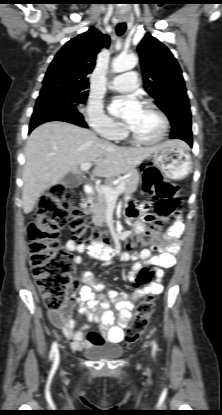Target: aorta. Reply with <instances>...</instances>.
<instances>
[{
    "mask_svg": "<svg viewBox=\"0 0 222 415\" xmlns=\"http://www.w3.org/2000/svg\"><path fill=\"white\" fill-rule=\"evenodd\" d=\"M138 62V58L134 54L120 55L112 62V70L114 73H122L133 69Z\"/></svg>",
    "mask_w": 222,
    "mask_h": 415,
    "instance_id": "obj_1",
    "label": "aorta"
}]
</instances>
